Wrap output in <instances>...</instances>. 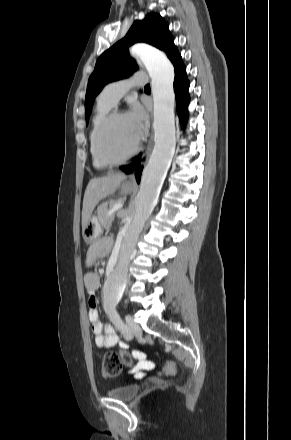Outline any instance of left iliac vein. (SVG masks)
<instances>
[{
    "mask_svg": "<svg viewBox=\"0 0 291 440\" xmlns=\"http://www.w3.org/2000/svg\"><path fill=\"white\" fill-rule=\"evenodd\" d=\"M126 323L128 325V328H129V333L128 334H124L126 339L130 340L134 336L135 337H140L141 336V334H142L141 328H140V326L135 322V320L131 316H126Z\"/></svg>",
    "mask_w": 291,
    "mask_h": 440,
    "instance_id": "4c4485c4",
    "label": "left iliac vein"
}]
</instances>
